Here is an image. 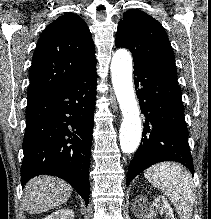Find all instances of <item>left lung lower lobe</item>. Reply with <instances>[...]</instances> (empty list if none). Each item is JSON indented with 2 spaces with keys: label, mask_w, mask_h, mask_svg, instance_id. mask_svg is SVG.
<instances>
[{
  "label": "left lung lower lobe",
  "mask_w": 211,
  "mask_h": 219,
  "mask_svg": "<svg viewBox=\"0 0 211 219\" xmlns=\"http://www.w3.org/2000/svg\"><path fill=\"white\" fill-rule=\"evenodd\" d=\"M134 81L146 119L141 144L128 168L127 185L163 161L180 162L194 173L176 67L134 62Z\"/></svg>",
  "instance_id": "0a47b994"
}]
</instances>
